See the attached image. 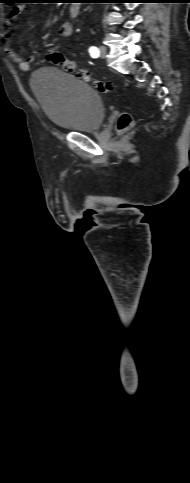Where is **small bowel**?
<instances>
[{
	"instance_id": "small-bowel-1",
	"label": "small bowel",
	"mask_w": 190,
	"mask_h": 483,
	"mask_svg": "<svg viewBox=\"0 0 190 483\" xmlns=\"http://www.w3.org/2000/svg\"><path fill=\"white\" fill-rule=\"evenodd\" d=\"M30 9V6L24 5V6H19L16 8L12 9V18L11 20L8 21L5 29L3 30L0 39L3 43L4 46V51L7 55V57L14 63H17L19 68L22 71H29L31 67V62L33 60V57H28V58H23L19 56L12 48L11 46V39L13 36V33L15 31V27L13 24V17L17 16L19 13L27 11ZM58 34L61 38L67 39L70 38L73 34V26L71 23L66 22L63 23L58 30Z\"/></svg>"
}]
</instances>
